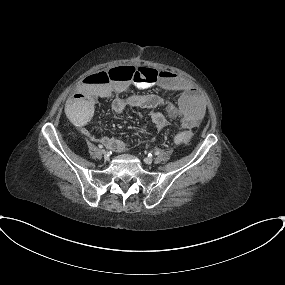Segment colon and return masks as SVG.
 <instances>
[{
  "label": "colon",
  "mask_w": 285,
  "mask_h": 285,
  "mask_svg": "<svg viewBox=\"0 0 285 285\" xmlns=\"http://www.w3.org/2000/svg\"><path fill=\"white\" fill-rule=\"evenodd\" d=\"M144 76V78L142 77ZM158 72L155 69H147L142 67H131L123 66L120 68H113L109 71L108 77L114 79H120L124 82L138 83L140 81L153 82L158 79ZM90 82H97L99 84L108 83L109 79L106 75H99L96 73H91L85 76ZM189 136L186 133H180L178 135L179 143H187L189 141Z\"/></svg>",
  "instance_id": "colon-1"
}]
</instances>
